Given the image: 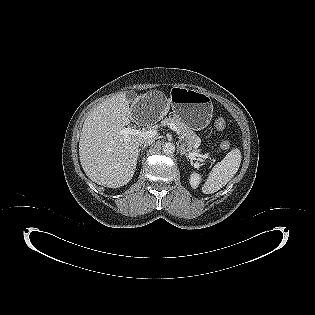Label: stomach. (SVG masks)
<instances>
[{"instance_id":"1","label":"stomach","mask_w":315,"mask_h":315,"mask_svg":"<svg viewBox=\"0 0 315 315\" xmlns=\"http://www.w3.org/2000/svg\"><path fill=\"white\" fill-rule=\"evenodd\" d=\"M175 118H179L192 130L208 126L213 115L209 95L196 89L173 87L169 98Z\"/></svg>"}]
</instances>
